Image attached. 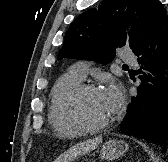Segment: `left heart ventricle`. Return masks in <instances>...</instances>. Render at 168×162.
Instances as JSON below:
<instances>
[{
	"mask_svg": "<svg viewBox=\"0 0 168 162\" xmlns=\"http://www.w3.org/2000/svg\"><path fill=\"white\" fill-rule=\"evenodd\" d=\"M77 108L81 117L89 124H101L109 120V110L103 92H87L80 97Z\"/></svg>",
	"mask_w": 168,
	"mask_h": 162,
	"instance_id": "left-heart-ventricle-1",
	"label": "left heart ventricle"
}]
</instances>
